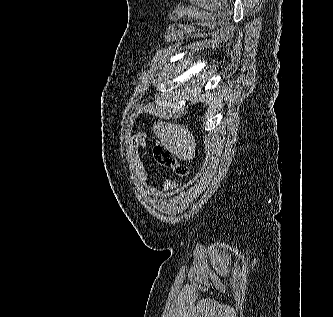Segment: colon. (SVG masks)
I'll return each mask as SVG.
<instances>
[{
	"instance_id": "obj_1",
	"label": "colon",
	"mask_w": 333,
	"mask_h": 317,
	"mask_svg": "<svg viewBox=\"0 0 333 317\" xmlns=\"http://www.w3.org/2000/svg\"><path fill=\"white\" fill-rule=\"evenodd\" d=\"M153 157L158 164L170 168L180 177H185L189 173V169L181 164L164 145L158 142L153 145Z\"/></svg>"
}]
</instances>
